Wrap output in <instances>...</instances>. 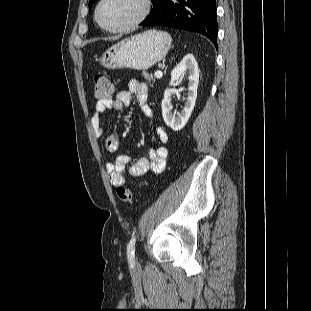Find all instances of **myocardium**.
Segmentation results:
<instances>
[{"label":"myocardium","instance_id":"myocardium-1","mask_svg":"<svg viewBox=\"0 0 311 311\" xmlns=\"http://www.w3.org/2000/svg\"><path fill=\"white\" fill-rule=\"evenodd\" d=\"M139 5V11L137 15L127 24L120 26V27H109L105 25L100 17H99V11L101 8V5L105 2V0H99L95 7L94 17L98 25L104 29L105 31L111 32V33H123L128 32L133 29H135L137 26H139L147 17L149 12V1L148 0H136Z\"/></svg>","mask_w":311,"mask_h":311}]
</instances>
